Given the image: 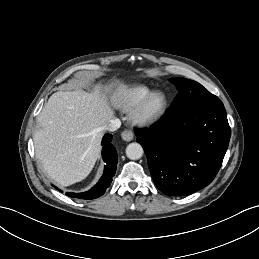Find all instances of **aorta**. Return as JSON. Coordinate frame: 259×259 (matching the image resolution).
<instances>
[{
  "instance_id": "aorta-1",
  "label": "aorta",
  "mask_w": 259,
  "mask_h": 259,
  "mask_svg": "<svg viewBox=\"0 0 259 259\" xmlns=\"http://www.w3.org/2000/svg\"><path fill=\"white\" fill-rule=\"evenodd\" d=\"M143 153V148L139 143L133 142L126 147V156L131 160L140 159Z\"/></svg>"
}]
</instances>
